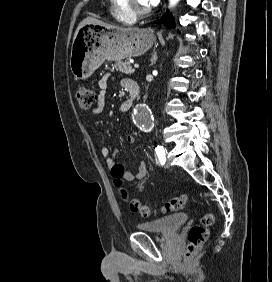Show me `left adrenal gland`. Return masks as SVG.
Here are the masks:
<instances>
[{
    "instance_id": "obj_1",
    "label": "left adrenal gland",
    "mask_w": 272,
    "mask_h": 282,
    "mask_svg": "<svg viewBox=\"0 0 272 282\" xmlns=\"http://www.w3.org/2000/svg\"><path fill=\"white\" fill-rule=\"evenodd\" d=\"M158 57H157V52L154 51L153 54H152V57H151V64L150 65H153L156 63Z\"/></svg>"
}]
</instances>
